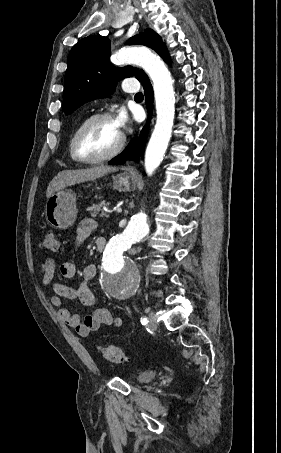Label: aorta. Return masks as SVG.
<instances>
[{
	"mask_svg": "<svg viewBox=\"0 0 281 453\" xmlns=\"http://www.w3.org/2000/svg\"><path fill=\"white\" fill-rule=\"evenodd\" d=\"M116 65L135 64L141 67L153 83L156 124L145 152V170L151 176L160 165L172 135L175 115V92L168 68L159 56L146 47L125 48L111 57ZM149 232L144 212L134 215L123 233L110 239L103 253L101 282L105 291L116 300H124L136 292L140 275L134 262L125 257L132 244Z\"/></svg>",
	"mask_w": 281,
	"mask_h": 453,
	"instance_id": "aorta-1",
	"label": "aorta"
}]
</instances>
